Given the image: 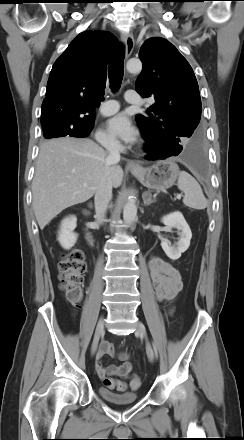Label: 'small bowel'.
I'll return each instance as SVG.
<instances>
[{"mask_svg":"<svg viewBox=\"0 0 244 440\" xmlns=\"http://www.w3.org/2000/svg\"><path fill=\"white\" fill-rule=\"evenodd\" d=\"M149 268L157 299L161 302L173 301L183 286L180 272L169 262L158 256H153L150 259ZM105 355L117 357L123 363L118 366H105L102 362V358ZM129 358L130 356L127 352H117L112 344L103 341L96 355V372L101 379H104L106 376L127 378L132 371V364Z\"/></svg>","mask_w":244,"mask_h":440,"instance_id":"small-bowel-1","label":"small bowel"}]
</instances>
